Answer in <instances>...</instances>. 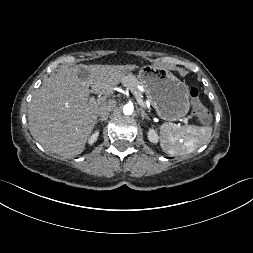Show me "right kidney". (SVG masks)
<instances>
[{"label":"right kidney","instance_id":"ca27d5eb","mask_svg":"<svg viewBox=\"0 0 253 253\" xmlns=\"http://www.w3.org/2000/svg\"><path fill=\"white\" fill-rule=\"evenodd\" d=\"M98 136H99V131H95L94 134H92L90 138L88 139V143L92 145L97 140Z\"/></svg>","mask_w":253,"mask_h":253}]
</instances>
